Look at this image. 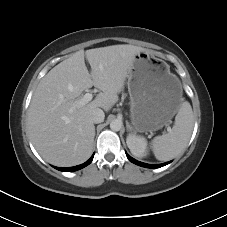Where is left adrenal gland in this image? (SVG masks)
<instances>
[{
  "mask_svg": "<svg viewBox=\"0 0 227 227\" xmlns=\"http://www.w3.org/2000/svg\"><path fill=\"white\" fill-rule=\"evenodd\" d=\"M126 128L128 132L131 131V126L128 121H126Z\"/></svg>",
  "mask_w": 227,
  "mask_h": 227,
  "instance_id": "1",
  "label": "left adrenal gland"
}]
</instances>
